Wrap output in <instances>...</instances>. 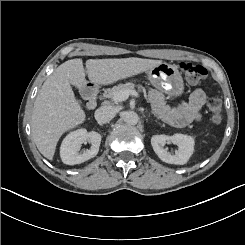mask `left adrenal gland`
<instances>
[{
    "label": "left adrenal gland",
    "instance_id": "1",
    "mask_svg": "<svg viewBox=\"0 0 245 245\" xmlns=\"http://www.w3.org/2000/svg\"><path fill=\"white\" fill-rule=\"evenodd\" d=\"M144 111H146V109H143ZM156 118H159L158 115H156L155 113H152Z\"/></svg>",
    "mask_w": 245,
    "mask_h": 245
}]
</instances>
